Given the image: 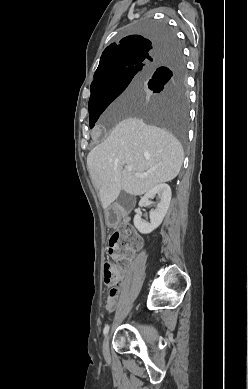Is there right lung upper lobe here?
I'll list each match as a JSON object with an SVG mask.
<instances>
[{
    "mask_svg": "<svg viewBox=\"0 0 248 389\" xmlns=\"http://www.w3.org/2000/svg\"><path fill=\"white\" fill-rule=\"evenodd\" d=\"M171 43L175 41L155 42L140 35H130L120 43H112L104 50L92 83L114 70L135 66L147 68L154 65L158 56L171 50Z\"/></svg>",
    "mask_w": 248,
    "mask_h": 389,
    "instance_id": "cb5924a9",
    "label": "right lung upper lobe"
}]
</instances>
